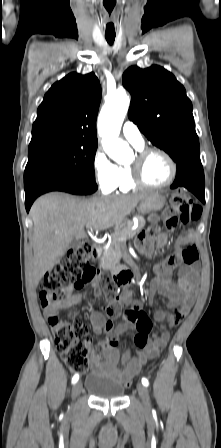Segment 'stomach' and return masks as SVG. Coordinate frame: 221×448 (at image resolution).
Instances as JSON below:
<instances>
[{"mask_svg":"<svg viewBox=\"0 0 221 448\" xmlns=\"http://www.w3.org/2000/svg\"><path fill=\"white\" fill-rule=\"evenodd\" d=\"M165 205V198L159 193H152L146 197L139 206V210L142 213L157 212L161 210ZM127 224V221H122L116 226L117 230L123 229Z\"/></svg>","mask_w":221,"mask_h":448,"instance_id":"obj_1","label":"stomach"}]
</instances>
